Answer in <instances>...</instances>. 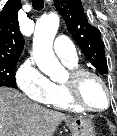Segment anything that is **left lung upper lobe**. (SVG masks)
I'll list each match as a JSON object with an SVG mask.
<instances>
[{
  "label": "left lung upper lobe",
  "mask_w": 117,
  "mask_h": 136,
  "mask_svg": "<svg viewBox=\"0 0 117 136\" xmlns=\"http://www.w3.org/2000/svg\"><path fill=\"white\" fill-rule=\"evenodd\" d=\"M54 4L88 61L99 73L107 74L104 43L99 30L88 23L81 0H54Z\"/></svg>",
  "instance_id": "1"
}]
</instances>
